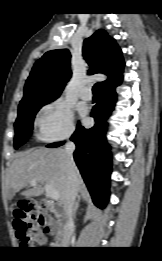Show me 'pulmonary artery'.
Wrapping results in <instances>:
<instances>
[{"mask_svg":"<svg viewBox=\"0 0 162 261\" xmlns=\"http://www.w3.org/2000/svg\"><path fill=\"white\" fill-rule=\"evenodd\" d=\"M80 98L83 100H91L93 97V93L89 86L83 87L79 93Z\"/></svg>","mask_w":162,"mask_h":261,"instance_id":"obj_1","label":"pulmonary artery"}]
</instances>
